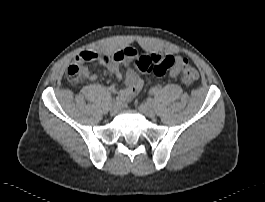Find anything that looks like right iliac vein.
<instances>
[{
	"label": "right iliac vein",
	"instance_id": "obj_1",
	"mask_svg": "<svg viewBox=\"0 0 265 202\" xmlns=\"http://www.w3.org/2000/svg\"><path fill=\"white\" fill-rule=\"evenodd\" d=\"M120 109V105L117 103H114L111 107H110V114L111 115H116L119 112Z\"/></svg>",
	"mask_w": 265,
	"mask_h": 202
}]
</instances>
